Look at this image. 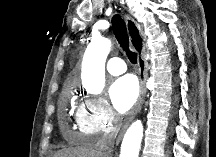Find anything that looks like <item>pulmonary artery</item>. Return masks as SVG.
Segmentation results:
<instances>
[{
  "mask_svg": "<svg viewBox=\"0 0 216 157\" xmlns=\"http://www.w3.org/2000/svg\"><path fill=\"white\" fill-rule=\"evenodd\" d=\"M106 69L112 75H120L126 71V65L121 58L112 57L107 61Z\"/></svg>",
  "mask_w": 216,
  "mask_h": 157,
  "instance_id": "1",
  "label": "pulmonary artery"
}]
</instances>
